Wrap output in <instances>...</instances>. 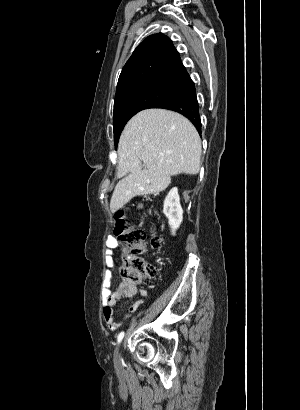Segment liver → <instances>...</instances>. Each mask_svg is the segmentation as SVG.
Returning a JSON list of instances; mask_svg holds the SVG:
<instances>
[{"instance_id": "6515ba94", "label": "liver", "mask_w": 300, "mask_h": 410, "mask_svg": "<svg viewBox=\"0 0 300 410\" xmlns=\"http://www.w3.org/2000/svg\"><path fill=\"white\" fill-rule=\"evenodd\" d=\"M201 152L196 128L181 114L165 109L139 112L126 124L119 139L118 176L125 177L114 189L111 212L135 196L165 190L171 176L197 174Z\"/></svg>"}]
</instances>
